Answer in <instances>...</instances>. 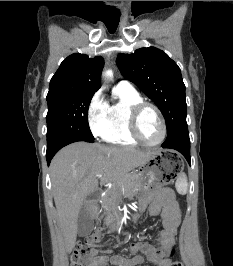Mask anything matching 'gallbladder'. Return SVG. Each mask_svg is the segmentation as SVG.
<instances>
[{"mask_svg":"<svg viewBox=\"0 0 233 266\" xmlns=\"http://www.w3.org/2000/svg\"><path fill=\"white\" fill-rule=\"evenodd\" d=\"M94 229V217L85 205L80 209L77 219V234L81 237L89 235Z\"/></svg>","mask_w":233,"mask_h":266,"instance_id":"obj_1","label":"gallbladder"}]
</instances>
